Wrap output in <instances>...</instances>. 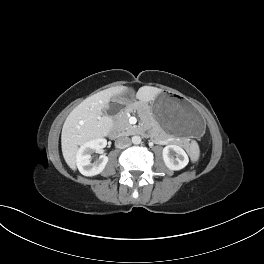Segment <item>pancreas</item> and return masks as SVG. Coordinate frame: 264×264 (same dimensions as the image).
<instances>
[{
  "instance_id": "1",
  "label": "pancreas",
  "mask_w": 264,
  "mask_h": 264,
  "mask_svg": "<svg viewBox=\"0 0 264 264\" xmlns=\"http://www.w3.org/2000/svg\"><path fill=\"white\" fill-rule=\"evenodd\" d=\"M132 107H133V105L129 106L128 109L120 112L115 117V126L120 131H122L123 133H126V134H131L135 130V127L132 126L128 121V113L132 111Z\"/></svg>"
}]
</instances>
